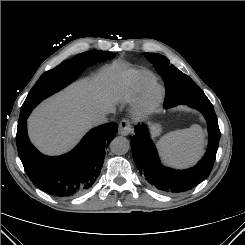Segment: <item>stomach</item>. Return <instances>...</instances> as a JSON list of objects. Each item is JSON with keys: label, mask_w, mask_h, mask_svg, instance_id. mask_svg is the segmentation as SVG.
<instances>
[{"label": "stomach", "mask_w": 245, "mask_h": 245, "mask_svg": "<svg viewBox=\"0 0 245 245\" xmlns=\"http://www.w3.org/2000/svg\"><path fill=\"white\" fill-rule=\"evenodd\" d=\"M162 132V128L160 125H154L153 126V135L158 136Z\"/></svg>", "instance_id": "0dacf381"}]
</instances>
